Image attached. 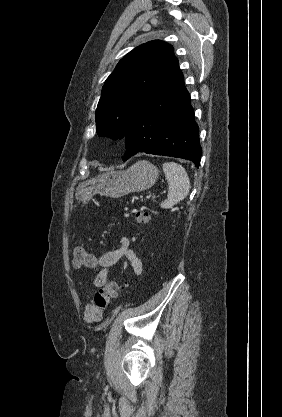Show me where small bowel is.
I'll list each match as a JSON object with an SVG mask.
<instances>
[{
  "instance_id": "c3829d8e",
  "label": "small bowel",
  "mask_w": 282,
  "mask_h": 417,
  "mask_svg": "<svg viewBox=\"0 0 282 417\" xmlns=\"http://www.w3.org/2000/svg\"><path fill=\"white\" fill-rule=\"evenodd\" d=\"M123 257L130 263L136 277L142 275V261L130 248L128 237L122 235L120 237V244L117 248L104 253L95 261V264L100 268L94 279L95 287L100 288L107 283L111 268ZM102 316L103 310L97 309L92 303L88 304L84 311V320L87 323L99 322L102 319Z\"/></svg>"
}]
</instances>
